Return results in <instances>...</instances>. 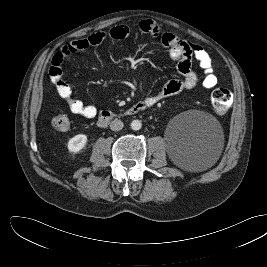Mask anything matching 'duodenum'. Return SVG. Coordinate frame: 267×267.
<instances>
[{
	"label": "duodenum",
	"instance_id": "410a0bca",
	"mask_svg": "<svg viewBox=\"0 0 267 267\" xmlns=\"http://www.w3.org/2000/svg\"><path fill=\"white\" fill-rule=\"evenodd\" d=\"M149 107L150 106L144 102H138L137 104L132 106L130 109H128L125 113H117V112H112L108 110H103L100 112L98 116L97 123L100 126H105L113 120L120 119L124 117L125 115L127 116L135 115L143 110L148 109Z\"/></svg>",
	"mask_w": 267,
	"mask_h": 267
}]
</instances>
